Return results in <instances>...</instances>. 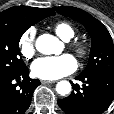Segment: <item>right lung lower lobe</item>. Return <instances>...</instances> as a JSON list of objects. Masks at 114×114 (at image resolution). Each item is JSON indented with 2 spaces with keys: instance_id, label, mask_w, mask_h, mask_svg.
Returning <instances> with one entry per match:
<instances>
[{
  "instance_id": "obj_1",
  "label": "right lung lower lobe",
  "mask_w": 114,
  "mask_h": 114,
  "mask_svg": "<svg viewBox=\"0 0 114 114\" xmlns=\"http://www.w3.org/2000/svg\"><path fill=\"white\" fill-rule=\"evenodd\" d=\"M39 84L38 79L29 78L27 67L15 74L0 76V114H24Z\"/></svg>"
}]
</instances>
